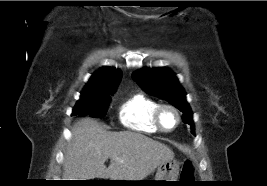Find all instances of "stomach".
Listing matches in <instances>:
<instances>
[{"mask_svg":"<svg viewBox=\"0 0 267 186\" xmlns=\"http://www.w3.org/2000/svg\"><path fill=\"white\" fill-rule=\"evenodd\" d=\"M180 164L177 160L171 159L161 163L157 169L156 175L151 185L166 186L171 185L172 182L165 181H177L179 175ZM142 181V180H141Z\"/></svg>","mask_w":267,"mask_h":186,"instance_id":"1","label":"stomach"}]
</instances>
